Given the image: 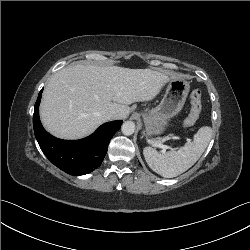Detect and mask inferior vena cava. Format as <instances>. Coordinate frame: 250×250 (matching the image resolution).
<instances>
[{"label": "inferior vena cava", "mask_w": 250, "mask_h": 250, "mask_svg": "<svg viewBox=\"0 0 250 250\" xmlns=\"http://www.w3.org/2000/svg\"><path fill=\"white\" fill-rule=\"evenodd\" d=\"M106 116H107L108 120L115 119L116 118V112L110 111V112L107 113Z\"/></svg>", "instance_id": "1"}]
</instances>
